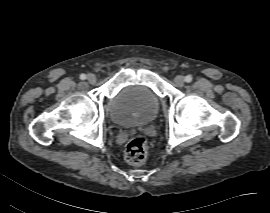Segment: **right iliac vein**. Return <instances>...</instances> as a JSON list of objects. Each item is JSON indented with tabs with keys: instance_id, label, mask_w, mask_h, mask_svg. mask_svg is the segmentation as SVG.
Here are the masks:
<instances>
[{
	"instance_id": "63e3f726",
	"label": "right iliac vein",
	"mask_w": 270,
	"mask_h": 213,
	"mask_svg": "<svg viewBox=\"0 0 270 213\" xmlns=\"http://www.w3.org/2000/svg\"><path fill=\"white\" fill-rule=\"evenodd\" d=\"M87 80L90 84L96 83V76L94 74H89Z\"/></svg>"
}]
</instances>
